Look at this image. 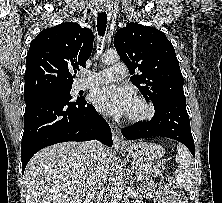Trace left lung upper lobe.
Segmentation results:
<instances>
[{"label": "left lung upper lobe", "mask_w": 222, "mask_h": 203, "mask_svg": "<svg viewBox=\"0 0 222 203\" xmlns=\"http://www.w3.org/2000/svg\"><path fill=\"white\" fill-rule=\"evenodd\" d=\"M114 46L133 74L131 82L154 106L169 98L186 100L174 47L162 31L130 22L117 31Z\"/></svg>", "instance_id": "5c2ea615"}]
</instances>
